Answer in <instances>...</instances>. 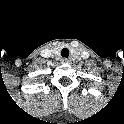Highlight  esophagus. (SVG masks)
Returning a JSON list of instances; mask_svg holds the SVG:
<instances>
[{
    "mask_svg": "<svg viewBox=\"0 0 124 124\" xmlns=\"http://www.w3.org/2000/svg\"><path fill=\"white\" fill-rule=\"evenodd\" d=\"M61 61H62L63 63H70V60H69L68 58H63Z\"/></svg>",
    "mask_w": 124,
    "mask_h": 124,
    "instance_id": "34e87169",
    "label": "esophagus"
}]
</instances>
